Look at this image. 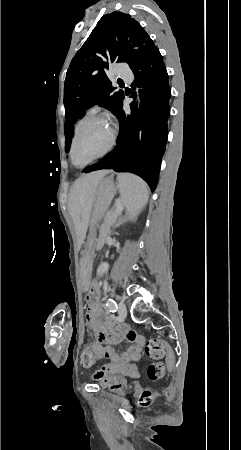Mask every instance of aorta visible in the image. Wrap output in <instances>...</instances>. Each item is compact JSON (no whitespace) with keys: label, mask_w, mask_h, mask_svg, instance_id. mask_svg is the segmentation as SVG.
I'll return each mask as SVG.
<instances>
[{"label":"aorta","mask_w":241,"mask_h":450,"mask_svg":"<svg viewBox=\"0 0 241 450\" xmlns=\"http://www.w3.org/2000/svg\"><path fill=\"white\" fill-rule=\"evenodd\" d=\"M137 100H138V103H139V101H140L139 98H137Z\"/></svg>","instance_id":"aorta-1"}]
</instances>
